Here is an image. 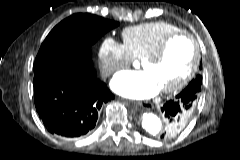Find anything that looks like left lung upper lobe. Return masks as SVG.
I'll return each instance as SVG.
<instances>
[{
    "label": "left lung upper lobe",
    "mask_w": 240,
    "mask_h": 160,
    "mask_svg": "<svg viewBox=\"0 0 240 160\" xmlns=\"http://www.w3.org/2000/svg\"><path fill=\"white\" fill-rule=\"evenodd\" d=\"M201 81H202V77L200 75H198L195 79H193V81L188 85H195V92L198 94L200 91H201ZM193 114V111H189V112H186L185 114L182 115V122H184L185 124L188 123V121L190 120L191 116ZM167 121V119H166ZM184 126H181L179 128H176L175 130H170V125L167 121V126H166V129L164 131V133L160 136V138H168V137H171V136H174L176 135L177 133H179L184 127Z\"/></svg>",
    "instance_id": "left-lung-upper-lobe-1"
}]
</instances>
